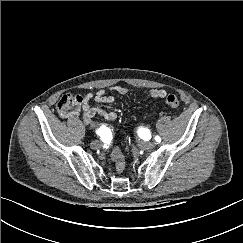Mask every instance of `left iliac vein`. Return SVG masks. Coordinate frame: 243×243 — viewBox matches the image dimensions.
<instances>
[{"label": "left iliac vein", "instance_id": "left-iliac-vein-1", "mask_svg": "<svg viewBox=\"0 0 243 243\" xmlns=\"http://www.w3.org/2000/svg\"><path fill=\"white\" fill-rule=\"evenodd\" d=\"M155 147V144L152 142H145L141 144V148L146 150V151H150Z\"/></svg>", "mask_w": 243, "mask_h": 243}]
</instances>
